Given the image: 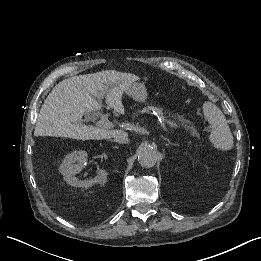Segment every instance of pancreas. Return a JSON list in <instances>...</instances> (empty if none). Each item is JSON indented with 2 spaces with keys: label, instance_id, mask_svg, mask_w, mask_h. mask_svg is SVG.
I'll list each match as a JSON object with an SVG mask.
<instances>
[{
  "label": "pancreas",
  "instance_id": "cf45deb5",
  "mask_svg": "<svg viewBox=\"0 0 261 261\" xmlns=\"http://www.w3.org/2000/svg\"><path fill=\"white\" fill-rule=\"evenodd\" d=\"M152 110L160 111L169 118H173L175 121L183 123L184 128L189 131V135L193 137L195 141L200 139V134L196 131L195 125H193V122L189 120L188 117L180 115L177 111H174L170 107H166L163 103L144 104L138 106V108H133V112H130V120H135V117L139 116L140 114H144L147 111Z\"/></svg>",
  "mask_w": 261,
  "mask_h": 261
}]
</instances>
